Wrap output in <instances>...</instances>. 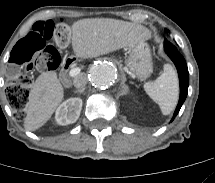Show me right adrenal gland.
Wrapping results in <instances>:
<instances>
[{"instance_id":"obj_1","label":"right adrenal gland","mask_w":215,"mask_h":183,"mask_svg":"<svg viewBox=\"0 0 215 183\" xmlns=\"http://www.w3.org/2000/svg\"><path fill=\"white\" fill-rule=\"evenodd\" d=\"M84 91H85V88H81V89L75 90L74 92L75 93H83Z\"/></svg>"}]
</instances>
